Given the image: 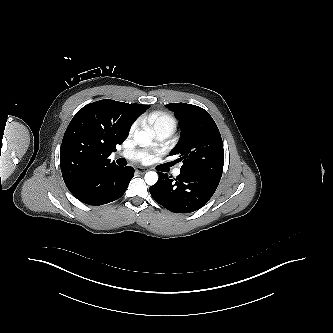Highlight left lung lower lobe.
<instances>
[{
  "label": "left lung lower lobe",
  "instance_id": "left-lung-lower-lobe-1",
  "mask_svg": "<svg viewBox=\"0 0 333 333\" xmlns=\"http://www.w3.org/2000/svg\"><path fill=\"white\" fill-rule=\"evenodd\" d=\"M160 180L150 187L152 198L175 213H190L203 207L214 194L220 180L180 173L176 179L158 172Z\"/></svg>",
  "mask_w": 333,
  "mask_h": 333
}]
</instances>
